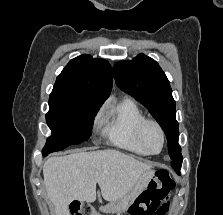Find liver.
<instances>
[{"label":"liver","mask_w":223,"mask_h":215,"mask_svg":"<svg viewBox=\"0 0 223 215\" xmlns=\"http://www.w3.org/2000/svg\"><path fill=\"white\" fill-rule=\"evenodd\" d=\"M151 167L150 163L116 149L77 151L46 159L44 185L55 205V215H70L68 205L73 199L95 201L96 183L104 199L117 201L134 187L141 173Z\"/></svg>","instance_id":"1"}]
</instances>
